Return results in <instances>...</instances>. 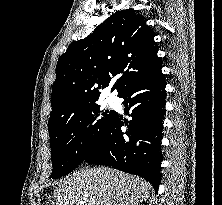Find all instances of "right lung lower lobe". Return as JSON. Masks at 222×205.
Here are the masks:
<instances>
[{"instance_id":"right-lung-lower-lobe-1","label":"right lung lower lobe","mask_w":222,"mask_h":205,"mask_svg":"<svg viewBox=\"0 0 222 205\" xmlns=\"http://www.w3.org/2000/svg\"><path fill=\"white\" fill-rule=\"evenodd\" d=\"M165 86L161 68L128 86L119 97L124 99V112L132 116V120L123 121L116 113L84 161L143 177L157 191L161 179ZM124 125L126 132L121 130Z\"/></svg>"}]
</instances>
